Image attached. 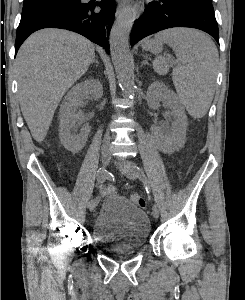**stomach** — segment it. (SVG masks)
<instances>
[{
	"instance_id": "stomach-1",
	"label": "stomach",
	"mask_w": 245,
	"mask_h": 300,
	"mask_svg": "<svg viewBox=\"0 0 245 300\" xmlns=\"http://www.w3.org/2000/svg\"><path fill=\"white\" fill-rule=\"evenodd\" d=\"M162 42L157 39H147L143 42L142 48L152 53H160L162 51Z\"/></svg>"
}]
</instances>
